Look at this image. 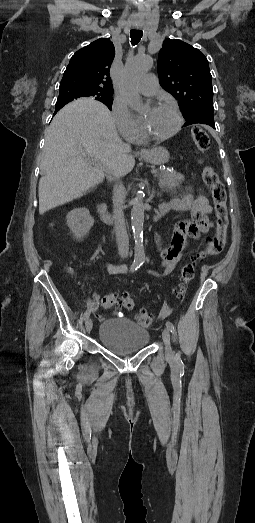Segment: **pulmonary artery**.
Segmentation results:
<instances>
[{
  "label": "pulmonary artery",
  "instance_id": "1",
  "mask_svg": "<svg viewBox=\"0 0 255 523\" xmlns=\"http://www.w3.org/2000/svg\"><path fill=\"white\" fill-rule=\"evenodd\" d=\"M156 74L154 72H149L143 79L139 82L138 88L140 92H143L147 96L152 94L158 95L161 92L160 87H158L157 82L155 81Z\"/></svg>",
  "mask_w": 255,
  "mask_h": 523
}]
</instances>
